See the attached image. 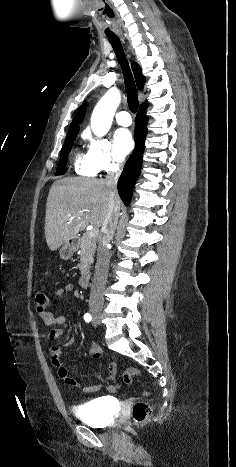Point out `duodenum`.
I'll return each mask as SVG.
<instances>
[{
    "instance_id": "1",
    "label": "duodenum",
    "mask_w": 236,
    "mask_h": 467,
    "mask_svg": "<svg viewBox=\"0 0 236 467\" xmlns=\"http://www.w3.org/2000/svg\"><path fill=\"white\" fill-rule=\"evenodd\" d=\"M71 246H75V241L72 240L70 241ZM90 274L89 272H83L81 277H80V286L84 289L88 288L90 285Z\"/></svg>"
}]
</instances>
